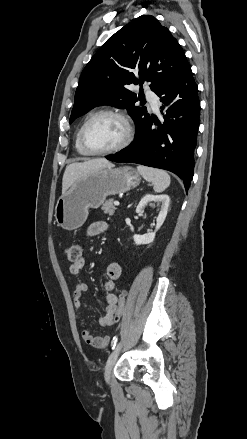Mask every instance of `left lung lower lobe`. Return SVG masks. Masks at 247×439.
<instances>
[{"label":"left lung lower lobe","instance_id":"left-lung-lower-lobe-1","mask_svg":"<svg viewBox=\"0 0 247 439\" xmlns=\"http://www.w3.org/2000/svg\"><path fill=\"white\" fill-rule=\"evenodd\" d=\"M198 87L186 61L159 90L164 122L148 117L136 130L135 140L124 150L106 158L115 162L138 163L177 174L188 190L193 178L200 104ZM153 123L157 126L152 129Z\"/></svg>","mask_w":247,"mask_h":439}]
</instances>
